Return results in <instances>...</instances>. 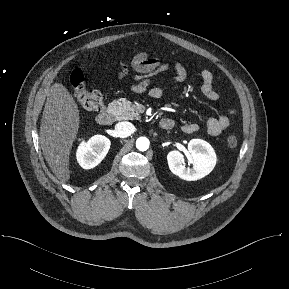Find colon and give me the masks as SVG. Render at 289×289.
Here are the masks:
<instances>
[{
  "mask_svg": "<svg viewBox=\"0 0 289 289\" xmlns=\"http://www.w3.org/2000/svg\"><path fill=\"white\" fill-rule=\"evenodd\" d=\"M70 84L73 95L77 102L88 111H100L104 107L103 96L99 91L89 90L84 82L83 74L80 70H75L70 76ZM238 140L231 135L227 138V145L230 149L237 147Z\"/></svg>",
  "mask_w": 289,
  "mask_h": 289,
  "instance_id": "1",
  "label": "colon"
}]
</instances>
